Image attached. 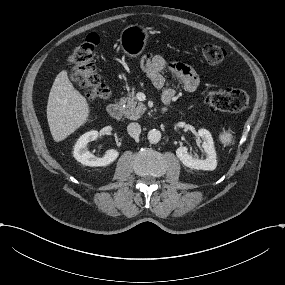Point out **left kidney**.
<instances>
[{
    "label": "left kidney",
    "mask_w": 285,
    "mask_h": 285,
    "mask_svg": "<svg viewBox=\"0 0 285 285\" xmlns=\"http://www.w3.org/2000/svg\"><path fill=\"white\" fill-rule=\"evenodd\" d=\"M198 135L204 140L202 147L207 154L206 159H195L189 153L187 147H179L176 155L187 167L197 170H214L217 167L216 151L211 133L206 129H199Z\"/></svg>",
    "instance_id": "left-kidney-1"
}]
</instances>
